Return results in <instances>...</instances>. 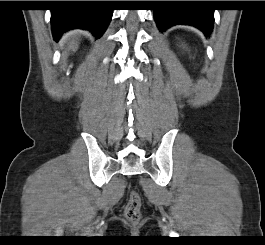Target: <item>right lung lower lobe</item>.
<instances>
[{
    "instance_id": "98d812e1",
    "label": "right lung lower lobe",
    "mask_w": 265,
    "mask_h": 245,
    "mask_svg": "<svg viewBox=\"0 0 265 245\" xmlns=\"http://www.w3.org/2000/svg\"><path fill=\"white\" fill-rule=\"evenodd\" d=\"M70 7L51 10V26L54 40L70 29L90 30L96 38L105 32L112 9L107 1H71Z\"/></svg>"
}]
</instances>
